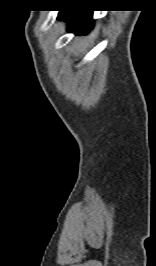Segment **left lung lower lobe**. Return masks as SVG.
I'll return each mask as SVG.
<instances>
[{"instance_id": "obj_1", "label": "left lung lower lobe", "mask_w": 156, "mask_h": 266, "mask_svg": "<svg viewBox=\"0 0 156 266\" xmlns=\"http://www.w3.org/2000/svg\"><path fill=\"white\" fill-rule=\"evenodd\" d=\"M58 19L68 21V29L70 31H76L78 34L88 33L92 29L94 23V20H92V11L88 10L60 11L58 14Z\"/></svg>"}]
</instances>
